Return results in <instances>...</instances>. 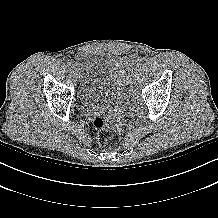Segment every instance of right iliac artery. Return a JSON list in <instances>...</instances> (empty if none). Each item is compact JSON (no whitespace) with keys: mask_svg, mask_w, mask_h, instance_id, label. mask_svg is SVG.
<instances>
[{"mask_svg":"<svg viewBox=\"0 0 218 218\" xmlns=\"http://www.w3.org/2000/svg\"><path fill=\"white\" fill-rule=\"evenodd\" d=\"M73 63H74V62H73L72 60H68V61H67L68 66H72Z\"/></svg>","mask_w":218,"mask_h":218,"instance_id":"82829eb1","label":"right iliac artery"}]
</instances>
